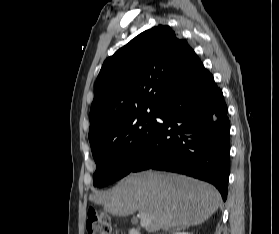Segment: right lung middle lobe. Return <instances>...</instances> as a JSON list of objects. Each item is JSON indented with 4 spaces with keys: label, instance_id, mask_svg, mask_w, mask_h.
Listing matches in <instances>:
<instances>
[{
    "label": "right lung middle lobe",
    "instance_id": "dd1d6c3e",
    "mask_svg": "<svg viewBox=\"0 0 279 234\" xmlns=\"http://www.w3.org/2000/svg\"><path fill=\"white\" fill-rule=\"evenodd\" d=\"M158 110L138 111L125 118L111 133L90 144L97 166L94 186L104 187L132 172L151 140Z\"/></svg>",
    "mask_w": 279,
    "mask_h": 234
}]
</instances>
